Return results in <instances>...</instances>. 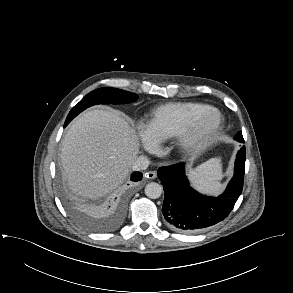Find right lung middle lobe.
Here are the masks:
<instances>
[{
	"label": "right lung middle lobe",
	"instance_id": "right-lung-middle-lobe-1",
	"mask_svg": "<svg viewBox=\"0 0 293 293\" xmlns=\"http://www.w3.org/2000/svg\"><path fill=\"white\" fill-rule=\"evenodd\" d=\"M138 96L134 93H130L124 90L116 88H99L89 94H87L78 104H76L69 112L64 127L79 113L86 108L96 104H121L131 103L136 101ZM76 218L86 227L94 230L103 229L100 224H97L91 220H88L77 211H73Z\"/></svg>",
	"mask_w": 293,
	"mask_h": 293
}]
</instances>
